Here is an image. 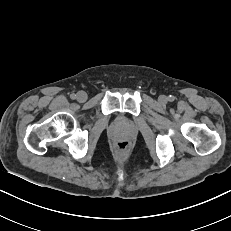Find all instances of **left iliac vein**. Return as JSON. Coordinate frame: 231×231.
Instances as JSON below:
<instances>
[{
    "label": "left iliac vein",
    "instance_id": "obj_1",
    "mask_svg": "<svg viewBox=\"0 0 231 231\" xmlns=\"http://www.w3.org/2000/svg\"><path fill=\"white\" fill-rule=\"evenodd\" d=\"M167 101V98H166V96H164V95H161V96H159V102L160 103H165Z\"/></svg>",
    "mask_w": 231,
    "mask_h": 231
}]
</instances>
